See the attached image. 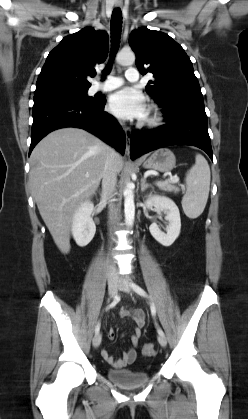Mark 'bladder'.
Segmentation results:
<instances>
[{"label":"bladder","instance_id":"31cf9c89","mask_svg":"<svg viewBox=\"0 0 248 419\" xmlns=\"http://www.w3.org/2000/svg\"><path fill=\"white\" fill-rule=\"evenodd\" d=\"M107 378L119 387L132 389L144 386L150 380L147 372L136 371L131 368L108 369Z\"/></svg>","mask_w":248,"mask_h":419}]
</instances>
